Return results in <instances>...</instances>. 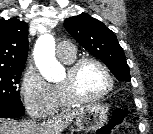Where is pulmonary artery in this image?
<instances>
[{"label":"pulmonary artery","mask_w":153,"mask_h":134,"mask_svg":"<svg viewBox=\"0 0 153 134\" xmlns=\"http://www.w3.org/2000/svg\"><path fill=\"white\" fill-rule=\"evenodd\" d=\"M56 53L59 58H71L75 55V47L68 41H62L57 45Z\"/></svg>","instance_id":"e3ab8cb5"}]
</instances>
